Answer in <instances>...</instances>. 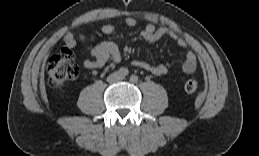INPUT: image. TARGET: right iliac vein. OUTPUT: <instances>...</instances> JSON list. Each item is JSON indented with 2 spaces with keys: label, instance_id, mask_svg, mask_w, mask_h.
Wrapping results in <instances>:
<instances>
[{
  "label": "right iliac vein",
  "instance_id": "63e3f726",
  "mask_svg": "<svg viewBox=\"0 0 259 156\" xmlns=\"http://www.w3.org/2000/svg\"><path fill=\"white\" fill-rule=\"evenodd\" d=\"M117 77H118V75L115 73V74L110 76V80H116Z\"/></svg>",
  "mask_w": 259,
  "mask_h": 156
}]
</instances>
